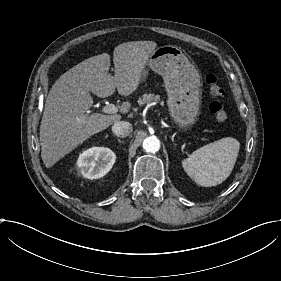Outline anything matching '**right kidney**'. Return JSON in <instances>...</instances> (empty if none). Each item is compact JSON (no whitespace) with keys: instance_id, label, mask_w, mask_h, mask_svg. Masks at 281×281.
Here are the masks:
<instances>
[{"instance_id":"1","label":"right kidney","mask_w":281,"mask_h":281,"mask_svg":"<svg viewBox=\"0 0 281 281\" xmlns=\"http://www.w3.org/2000/svg\"><path fill=\"white\" fill-rule=\"evenodd\" d=\"M115 153L106 147H92L79 154L76 165L83 177L98 179L106 175L115 163Z\"/></svg>"}]
</instances>
